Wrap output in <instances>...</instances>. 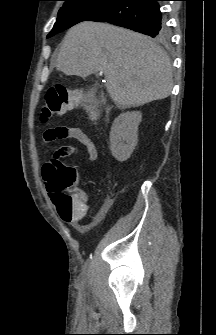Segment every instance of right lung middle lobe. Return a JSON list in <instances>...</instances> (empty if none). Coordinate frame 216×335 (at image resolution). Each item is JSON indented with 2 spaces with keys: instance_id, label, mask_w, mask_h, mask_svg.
<instances>
[{
  "instance_id": "right-lung-middle-lobe-1",
  "label": "right lung middle lobe",
  "mask_w": 216,
  "mask_h": 335,
  "mask_svg": "<svg viewBox=\"0 0 216 335\" xmlns=\"http://www.w3.org/2000/svg\"><path fill=\"white\" fill-rule=\"evenodd\" d=\"M63 7L58 12V17L52 31L47 38L60 33L73 25L89 20L94 15L105 9L116 0H63ZM168 37V31L156 37V40L163 41Z\"/></svg>"
}]
</instances>
